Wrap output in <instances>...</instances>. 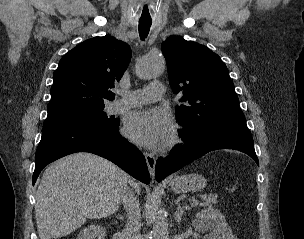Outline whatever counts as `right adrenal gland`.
Masks as SVG:
<instances>
[{"label": "right adrenal gland", "instance_id": "2a0ac1e0", "mask_svg": "<svg viewBox=\"0 0 304 239\" xmlns=\"http://www.w3.org/2000/svg\"><path fill=\"white\" fill-rule=\"evenodd\" d=\"M119 219L123 221L124 220V216L119 215Z\"/></svg>", "mask_w": 304, "mask_h": 239}]
</instances>
